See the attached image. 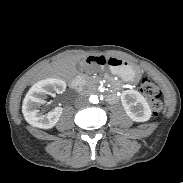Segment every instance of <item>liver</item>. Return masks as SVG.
Instances as JSON below:
<instances>
[{
    "instance_id": "obj_1",
    "label": "liver",
    "mask_w": 183,
    "mask_h": 183,
    "mask_svg": "<svg viewBox=\"0 0 183 183\" xmlns=\"http://www.w3.org/2000/svg\"><path fill=\"white\" fill-rule=\"evenodd\" d=\"M84 58L86 56H83ZM79 57H71L55 63L51 69V74L57 78L69 79L76 74V61Z\"/></svg>"
}]
</instances>
